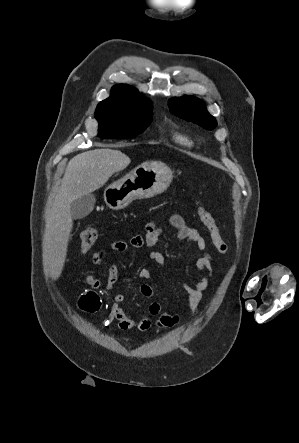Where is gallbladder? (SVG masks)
Returning a JSON list of instances; mask_svg holds the SVG:
<instances>
[{
    "mask_svg": "<svg viewBox=\"0 0 299 443\" xmlns=\"http://www.w3.org/2000/svg\"><path fill=\"white\" fill-rule=\"evenodd\" d=\"M96 198L94 194L89 193L72 201L70 213L73 219H82L88 216L95 205Z\"/></svg>",
    "mask_w": 299,
    "mask_h": 443,
    "instance_id": "bac80fb5",
    "label": "gallbladder"
}]
</instances>
